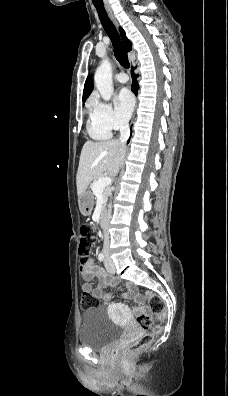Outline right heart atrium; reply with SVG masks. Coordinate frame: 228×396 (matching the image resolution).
I'll return each mask as SVG.
<instances>
[{"label":"right heart atrium","instance_id":"1","mask_svg":"<svg viewBox=\"0 0 228 396\" xmlns=\"http://www.w3.org/2000/svg\"><path fill=\"white\" fill-rule=\"evenodd\" d=\"M91 114L102 127L110 132L120 130L126 126V121L116 114L112 106L99 99L92 101Z\"/></svg>","mask_w":228,"mask_h":396}]
</instances>
